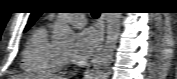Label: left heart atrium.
Listing matches in <instances>:
<instances>
[{
	"label": "left heart atrium",
	"mask_w": 177,
	"mask_h": 79,
	"mask_svg": "<svg viewBox=\"0 0 177 79\" xmlns=\"http://www.w3.org/2000/svg\"><path fill=\"white\" fill-rule=\"evenodd\" d=\"M98 35L92 28L81 29L76 36L75 45L71 51V58L76 63L85 62L95 51Z\"/></svg>",
	"instance_id": "1"
}]
</instances>
